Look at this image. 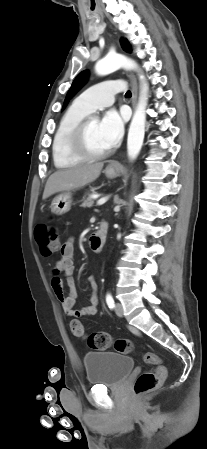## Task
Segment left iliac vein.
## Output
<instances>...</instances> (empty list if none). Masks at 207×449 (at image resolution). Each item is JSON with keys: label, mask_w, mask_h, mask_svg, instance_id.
I'll return each instance as SVG.
<instances>
[{"label": "left iliac vein", "mask_w": 207, "mask_h": 449, "mask_svg": "<svg viewBox=\"0 0 207 449\" xmlns=\"http://www.w3.org/2000/svg\"><path fill=\"white\" fill-rule=\"evenodd\" d=\"M115 312H116L117 316L123 317V307H122V305L120 303L116 304Z\"/></svg>", "instance_id": "left-iliac-vein-1"}]
</instances>
